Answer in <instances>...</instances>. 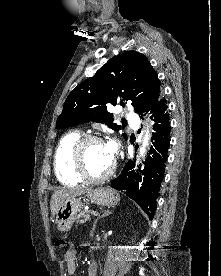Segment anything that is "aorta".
Masks as SVG:
<instances>
[{"label": "aorta", "mask_w": 221, "mask_h": 276, "mask_svg": "<svg viewBox=\"0 0 221 276\" xmlns=\"http://www.w3.org/2000/svg\"><path fill=\"white\" fill-rule=\"evenodd\" d=\"M149 142V131L147 130L144 138H143V144L142 147L140 148V154L143 156L146 152V147L148 146Z\"/></svg>", "instance_id": "762f6f07"}]
</instances>
